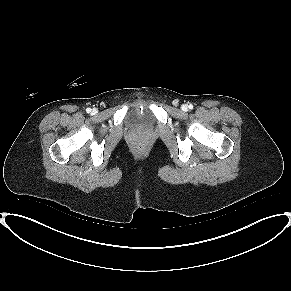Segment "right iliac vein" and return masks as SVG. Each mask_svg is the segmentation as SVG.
<instances>
[{
	"instance_id": "1",
	"label": "right iliac vein",
	"mask_w": 291,
	"mask_h": 291,
	"mask_svg": "<svg viewBox=\"0 0 291 291\" xmlns=\"http://www.w3.org/2000/svg\"><path fill=\"white\" fill-rule=\"evenodd\" d=\"M97 113V109H92V114L94 115V114H96Z\"/></svg>"
}]
</instances>
